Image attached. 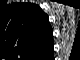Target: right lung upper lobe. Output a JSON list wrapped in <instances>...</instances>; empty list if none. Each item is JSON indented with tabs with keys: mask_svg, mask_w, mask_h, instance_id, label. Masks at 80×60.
<instances>
[{
	"mask_svg": "<svg viewBox=\"0 0 80 60\" xmlns=\"http://www.w3.org/2000/svg\"><path fill=\"white\" fill-rule=\"evenodd\" d=\"M3 36L14 51L27 53L43 52L49 43L47 15L32 3H16L7 7ZM51 43V42H50Z\"/></svg>",
	"mask_w": 80,
	"mask_h": 60,
	"instance_id": "cb5924a9",
	"label": "right lung upper lobe"
}]
</instances>
